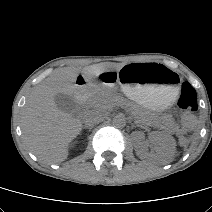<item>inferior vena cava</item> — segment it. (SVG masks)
<instances>
[{"label": "inferior vena cava", "instance_id": "602c4592", "mask_svg": "<svg viewBox=\"0 0 212 212\" xmlns=\"http://www.w3.org/2000/svg\"><path fill=\"white\" fill-rule=\"evenodd\" d=\"M103 120V115L97 110L88 111L83 117V123L87 127H92Z\"/></svg>", "mask_w": 212, "mask_h": 212}]
</instances>
